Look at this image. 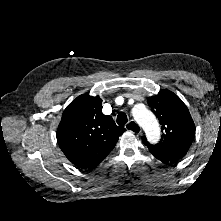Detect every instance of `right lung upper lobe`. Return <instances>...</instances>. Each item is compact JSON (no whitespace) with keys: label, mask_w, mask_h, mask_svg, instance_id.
<instances>
[{"label":"right lung upper lobe","mask_w":221,"mask_h":221,"mask_svg":"<svg viewBox=\"0 0 221 221\" xmlns=\"http://www.w3.org/2000/svg\"><path fill=\"white\" fill-rule=\"evenodd\" d=\"M126 129L102 113V99L78 96L63 112L57 142L76 166L94 168L112 151Z\"/></svg>","instance_id":"cb5924a9"}]
</instances>
